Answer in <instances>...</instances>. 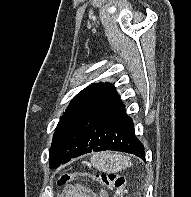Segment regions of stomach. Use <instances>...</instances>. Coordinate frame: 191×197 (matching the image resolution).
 Returning <instances> with one entry per match:
<instances>
[{"label": "stomach", "mask_w": 191, "mask_h": 197, "mask_svg": "<svg viewBox=\"0 0 191 197\" xmlns=\"http://www.w3.org/2000/svg\"><path fill=\"white\" fill-rule=\"evenodd\" d=\"M129 161L122 155L100 153L91 158L92 166L102 172H120L128 167Z\"/></svg>", "instance_id": "0dacf381"}]
</instances>
